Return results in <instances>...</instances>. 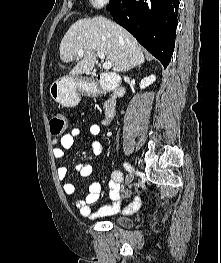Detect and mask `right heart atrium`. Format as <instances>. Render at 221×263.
I'll list each match as a JSON object with an SVG mask.
<instances>
[{
  "label": "right heart atrium",
  "mask_w": 221,
  "mask_h": 263,
  "mask_svg": "<svg viewBox=\"0 0 221 263\" xmlns=\"http://www.w3.org/2000/svg\"><path fill=\"white\" fill-rule=\"evenodd\" d=\"M88 1L93 9L103 8L109 2V0H88Z\"/></svg>",
  "instance_id": "right-heart-atrium-1"
}]
</instances>
